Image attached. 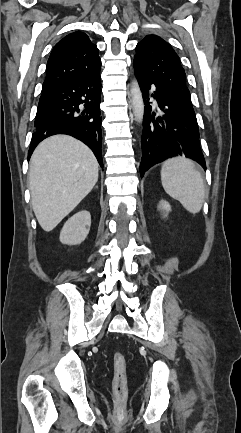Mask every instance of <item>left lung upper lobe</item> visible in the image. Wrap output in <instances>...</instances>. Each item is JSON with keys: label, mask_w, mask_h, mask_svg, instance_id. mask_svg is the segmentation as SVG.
Segmentation results:
<instances>
[{"label": "left lung upper lobe", "mask_w": 241, "mask_h": 433, "mask_svg": "<svg viewBox=\"0 0 241 433\" xmlns=\"http://www.w3.org/2000/svg\"><path fill=\"white\" fill-rule=\"evenodd\" d=\"M135 72L151 79L168 91L196 118L186 83V74L174 49L162 38L147 35L136 46Z\"/></svg>", "instance_id": "obj_1"}]
</instances>
